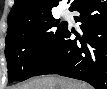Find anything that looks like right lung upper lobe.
I'll return each mask as SVG.
<instances>
[{
    "mask_svg": "<svg viewBox=\"0 0 107 89\" xmlns=\"http://www.w3.org/2000/svg\"><path fill=\"white\" fill-rule=\"evenodd\" d=\"M60 0H15L8 16V27L52 16V9ZM75 2L73 0L71 5Z\"/></svg>",
    "mask_w": 107,
    "mask_h": 89,
    "instance_id": "cb5924a9",
    "label": "right lung upper lobe"
}]
</instances>
